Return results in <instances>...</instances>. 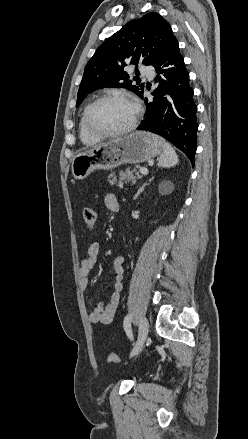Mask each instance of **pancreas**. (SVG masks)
<instances>
[{
	"label": "pancreas",
	"instance_id": "pancreas-1",
	"mask_svg": "<svg viewBox=\"0 0 248 439\" xmlns=\"http://www.w3.org/2000/svg\"><path fill=\"white\" fill-rule=\"evenodd\" d=\"M138 177V173L135 169H127L126 171H120L119 172V180H117V175L115 173H111L108 177V181L110 185H117L122 187L123 184H127L130 182H133Z\"/></svg>",
	"mask_w": 248,
	"mask_h": 439
}]
</instances>
